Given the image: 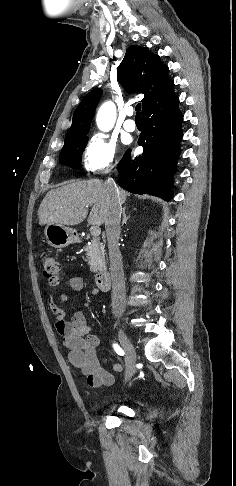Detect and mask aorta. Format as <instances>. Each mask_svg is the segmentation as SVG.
<instances>
[{"instance_id": "obj_1", "label": "aorta", "mask_w": 236, "mask_h": 486, "mask_svg": "<svg viewBox=\"0 0 236 486\" xmlns=\"http://www.w3.org/2000/svg\"><path fill=\"white\" fill-rule=\"evenodd\" d=\"M116 118L115 107L112 103H105L97 114V125L103 131H108L114 124Z\"/></svg>"}]
</instances>
